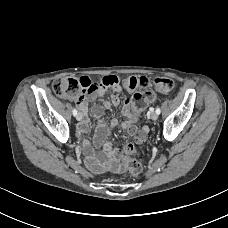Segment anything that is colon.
<instances>
[{
  "label": "colon",
  "instance_id": "1",
  "mask_svg": "<svg viewBox=\"0 0 228 228\" xmlns=\"http://www.w3.org/2000/svg\"><path fill=\"white\" fill-rule=\"evenodd\" d=\"M122 85L128 90L139 88L131 99L132 117L136 120V114L147 107L154 100V93L150 88L158 92H168L173 88V81L167 77H157L150 81L146 77H128L119 79L116 76H105L101 80L91 81L88 77L61 78L52 84L54 93L61 98L80 97L84 93H93L108 87ZM136 149L132 144L125 145L123 149L122 167L129 172L132 177L138 176L142 171L141 164L133 158Z\"/></svg>",
  "mask_w": 228,
  "mask_h": 228
}]
</instances>
